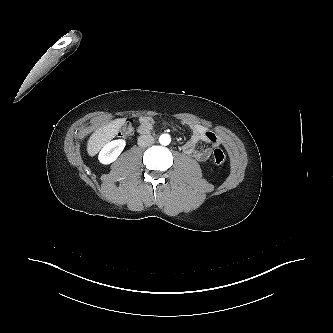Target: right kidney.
Wrapping results in <instances>:
<instances>
[{"mask_svg":"<svg viewBox=\"0 0 333 333\" xmlns=\"http://www.w3.org/2000/svg\"><path fill=\"white\" fill-rule=\"evenodd\" d=\"M126 145L125 140L117 139L106 144L98 155L99 162L107 165L114 162L123 151Z\"/></svg>","mask_w":333,"mask_h":333,"instance_id":"1","label":"right kidney"}]
</instances>
